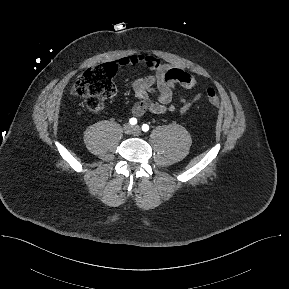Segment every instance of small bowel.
<instances>
[{
  "instance_id": "1",
  "label": "small bowel",
  "mask_w": 289,
  "mask_h": 289,
  "mask_svg": "<svg viewBox=\"0 0 289 289\" xmlns=\"http://www.w3.org/2000/svg\"><path fill=\"white\" fill-rule=\"evenodd\" d=\"M117 65L120 67L141 65L150 71V74L140 77L132 83L136 98L132 114L136 117H141L146 112L155 115L177 112L183 116L202 99L201 91L190 99L179 94L178 103L174 104V90L177 86L192 89L197 87L199 82L186 71L170 64L161 63L152 55L138 53L123 56L117 61Z\"/></svg>"
}]
</instances>
